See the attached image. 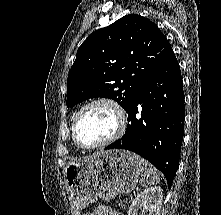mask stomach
Returning a JSON list of instances; mask_svg holds the SVG:
<instances>
[{"instance_id":"0dacf381","label":"stomach","mask_w":221,"mask_h":215,"mask_svg":"<svg viewBox=\"0 0 221 215\" xmlns=\"http://www.w3.org/2000/svg\"><path fill=\"white\" fill-rule=\"evenodd\" d=\"M141 176V158L121 149L69 162L64 177L73 213L79 215L82 209L98 198L110 200L131 192Z\"/></svg>"}]
</instances>
